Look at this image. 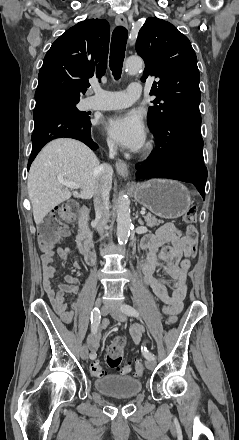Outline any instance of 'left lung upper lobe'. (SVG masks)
<instances>
[{"instance_id": "left-lung-upper-lobe-1", "label": "left lung upper lobe", "mask_w": 239, "mask_h": 440, "mask_svg": "<svg viewBox=\"0 0 239 440\" xmlns=\"http://www.w3.org/2000/svg\"><path fill=\"white\" fill-rule=\"evenodd\" d=\"M136 51L145 61L142 82L151 76L159 78L150 91L156 96L148 114L151 131L179 111H199L197 57L185 35L167 21L148 18L138 33Z\"/></svg>"}]
</instances>
